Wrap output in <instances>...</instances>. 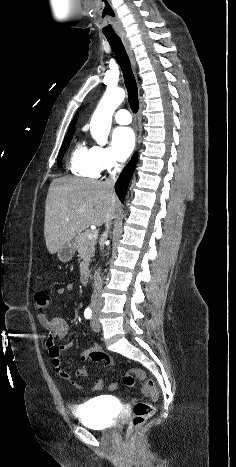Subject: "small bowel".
<instances>
[{"label":"small bowel","instance_id":"1","mask_svg":"<svg viewBox=\"0 0 236 467\" xmlns=\"http://www.w3.org/2000/svg\"><path fill=\"white\" fill-rule=\"evenodd\" d=\"M72 290H73V285L69 283L63 287H60L57 290V295L63 296L66 293L71 292ZM39 321L43 325V327L47 330L46 346L49 351L51 363L55 368L56 374L61 379L70 381L75 388L83 389V384L78 381L73 380L71 373L61 365V359H60L61 352L69 350L72 347L73 343L67 342L61 346H57L55 344L56 339H64L68 335L70 331L69 323L63 317L49 318L45 313L39 314ZM94 352H102V351L99 346H94L91 349L84 351L81 354L80 360L84 363V365H82L80 368L77 369L76 371L77 376L79 377L85 376L88 373L89 364L92 362H103L109 370L113 372L116 370V365L112 358L106 355V358L104 360L96 361L91 358V355ZM103 387H104L103 381L97 380L92 384V386L90 387V390L96 392V391L102 390ZM117 388H118L117 380L111 382L108 386V389L110 391H115Z\"/></svg>","mask_w":236,"mask_h":467}]
</instances>
